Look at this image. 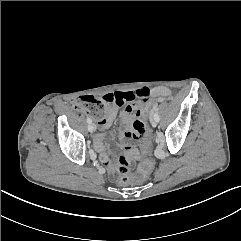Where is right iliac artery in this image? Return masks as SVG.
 Listing matches in <instances>:
<instances>
[{"instance_id":"obj_1","label":"right iliac artery","mask_w":241,"mask_h":241,"mask_svg":"<svg viewBox=\"0 0 241 241\" xmlns=\"http://www.w3.org/2000/svg\"><path fill=\"white\" fill-rule=\"evenodd\" d=\"M88 123H92V120L90 118H87Z\"/></svg>"}]
</instances>
